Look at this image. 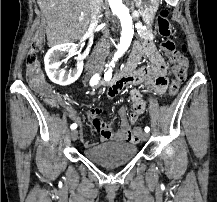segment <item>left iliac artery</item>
Listing matches in <instances>:
<instances>
[{"instance_id":"44dca946","label":"left iliac artery","mask_w":217,"mask_h":202,"mask_svg":"<svg viewBox=\"0 0 217 202\" xmlns=\"http://www.w3.org/2000/svg\"><path fill=\"white\" fill-rule=\"evenodd\" d=\"M111 77H112V71H107L106 73H105V75H104V79L106 80V81H110V79H111ZM145 132H149L150 131V128L147 126V127H145Z\"/></svg>"}]
</instances>
